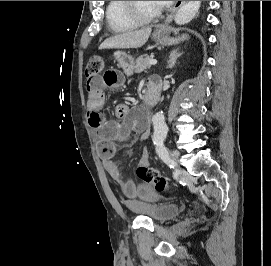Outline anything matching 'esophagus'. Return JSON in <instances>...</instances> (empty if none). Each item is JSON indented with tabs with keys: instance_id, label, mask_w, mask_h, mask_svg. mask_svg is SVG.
<instances>
[{
	"instance_id": "34e87169",
	"label": "esophagus",
	"mask_w": 271,
	"mask_h": 266,
	"mask_svg": "<svg viewBox=\"0 0 271 266\" xmlns=\"http://www.w3.org/2000/svg\"><path fill=\"white\" fill-rule=\"evenodd\" d=\"M185 3V1H176L175 2V5L171 11V13L168 15V17L166 18L165 20V23L163 25V27L160 29V30H163L172 20H173V17L176 13V11Z\"/></svg>"
}]
</instances>
